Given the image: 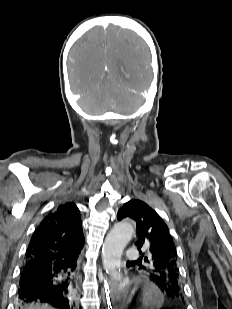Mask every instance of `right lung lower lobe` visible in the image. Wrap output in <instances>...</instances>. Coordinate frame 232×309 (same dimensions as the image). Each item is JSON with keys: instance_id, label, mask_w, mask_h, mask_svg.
I'll return each mask as SVG.
<instances>
[{"instance_id": "98d812e1", "label": "right lung lower lobe", "mask_w": 232, "mask_h": 309, "mask_svg": "<svg viewBox=\"0 0 232 309\" xmlns=\"http://www.w3.org/2000/svg\"><path fill=\"white\" fill-rule=\"evenodd\" d=\"M77 261V260H76ZM74 262H54L47 268L26 262L17 290V305L26 309L34 304H50L58 309H74Z\"/></svg>"}]
</instances>
